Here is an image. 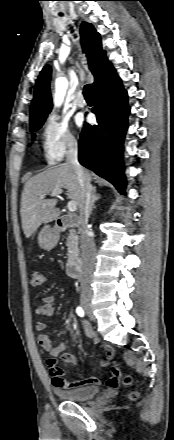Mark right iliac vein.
I'll list each match as a JSON object with an SVG mask.
<instances>
[{"label":"right iliac vein","instance_id":"obj_1","mask_svg":"<svg viewBox=\"0 0 174 440\" xmlns=\"http://www.w3.org/2000/svg\"><path fill=\"white\" fill-rule=\"evenodd\" d=\"M83 308L89 315H92V307L90 304L83 303Z\"/></svg>","mask_w":174,"mask_h":440}]
</instances>
